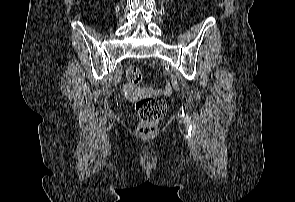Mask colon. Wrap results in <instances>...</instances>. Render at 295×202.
Here are the masks:
<instances>
[{"instance_id": "5ec220e1", "label": "colon", "mask_w": 295, "mask_h": 202, "mask_svg": "<svg viewBox=\"0 0 295 202\" xmlns=\"http://www.w3.org/2000/svg\"><path fill=\"white\" fill-rule=\"evenodd\" d=\"M126 77L132 85L142 82V72L137 66H130L126 71ZM139 116L137 133L148 137L156 132L157 124L162 120L166 112V103L160 97L142 98L136 103Z\"/></svg>"}]
</instances>
